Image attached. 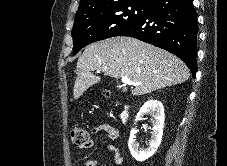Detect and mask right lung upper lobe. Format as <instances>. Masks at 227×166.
I'll use <instances>...</instances> for the list:
<instances>
[{
  "label": "right lung upper lobe",
  "mask_w": 227,
  "mask_h": 166,
  "mask_svg": "<svg viewBox=\"0 0 227 166\" xmlns=\"http://www.w3.org/2000/svg\"><path fill=\"white\" fill-rule=\"evenodd\" d=\"M154 0H81L76 14L103 9L119 4L137 3L149 5Z\"/></svg>",
  "instance_id": "obj_1"
}]
</instances>
